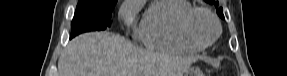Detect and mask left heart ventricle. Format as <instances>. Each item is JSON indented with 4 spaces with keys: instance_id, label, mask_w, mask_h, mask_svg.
<instances>
[{
    "instance_id": "obj_1",
    "label": "left heart ventricle",
    "mask_w": 287,
    "mask_h": 76,
    "mask_svg": "<svg viewBox=\"0 0 287 76\" xmlns=\"http://www.w3.org/2000/svg\"><path fill=\"white\" fill-rule=\"evenodd\" d=\"M193 32L202 41H209L215 34L213 22L204 14H198L193 20Z\"/></svg>"
}]
</instances>
